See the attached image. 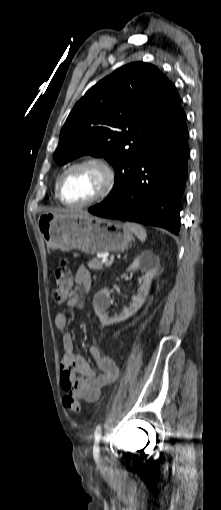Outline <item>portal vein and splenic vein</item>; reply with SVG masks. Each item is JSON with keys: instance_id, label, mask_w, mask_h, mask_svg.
<instances>
[{"instance_id": "obj_1", "label": "portal vein and splenic vein", "mask_w": 221, "mask_h": 510, "mask_svg": "<svg viewBox=\"0 0 221 510\" xmlns=\"http://www.w3.org/2000/svg\"><path fill=\"white\" fill-rule=\"evenodd\" d=\"M113 263V259H109L105 261V265L110 266Z\"/></svg>"}]
</instances>
